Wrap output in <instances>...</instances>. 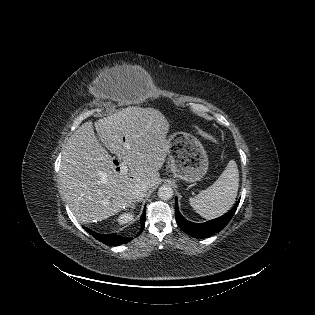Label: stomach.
I'll use <instances>...</instances> for the list:
<instances>
[{
  "label": "stomach",
  "instance_id": "1",
  "mask_svg": "<svg viewBox=\"0 0 315 315\" xmlns=\"http://www.w3.org/2000/svg\"><path fill=\"white\" fill-rule=\"evenodd\" d=\"M169 159L175 178L185 182L199 181L208 170V158L201 142L187 132H175L168 138Z\"/></svg>",
  "mask_w": 315,
  "mask_h": 315
}]
</instances>
